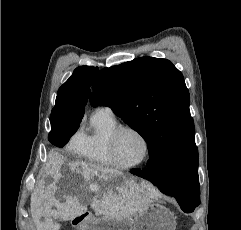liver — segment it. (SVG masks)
<instances>
[{
  "label": "liver",
  "mask_w": 241,
  "mask_h": 230,
  "mask_svg": "<svg viewBox=\"0 0 241 230\" xmlns=\"http://www.w3.org/2000/svg\"><path fill=\"white\" fill-rule=\"evenodd\" d=\"M49 164V174L53 183L45 188L44 181H41L39 187L31 194V215L37 230H59L60 225L55 224L53 218L62 217L70 220L87 211V206L80 203L78 196L65 197V202L55 198V192L58 189L56 184L61 179H63L62 185L66 187L71 179L81 176L84 182L79 189L82 192L95 193L91 207L105 219L126 220L152 202V194L147 191L145 184L138 185L126 181L124 184L114 186L113 176L123 175L116 169L78 161L65 163L57 153L51 155ZM65 164L67 167L62 173L61 168ZM42 217L45 219L44 222L40 221Z\"/></svg>",
  "instance_id": "6515ba94"
}]
</instances>
